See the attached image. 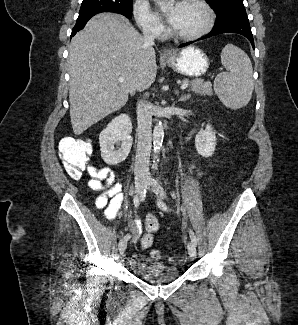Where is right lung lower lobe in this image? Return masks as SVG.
I'll return each mask as SVG.
<instances>
[{"label":"right lung lower lobe","mask_w":298,"mask_h":325,"mask_svg":"<svg viewBox=\"0 0 298 325\" xmlns=\"http://www.w3.org/2000/svg\"><path fill=\"white\" fill-rule=\"evenodd\" d=\"M92 17V16H91ZM84 18V19H77V22L74 26V28L72 29V34L71 37H73L78 31H80L81 29L84 28V26L86 25L87 21L91 18Z\"/></svg>","instance_id":"98d812e1"}]
</instances>
